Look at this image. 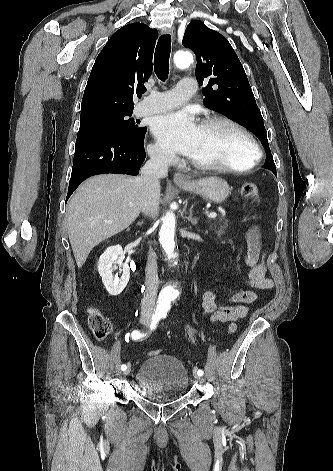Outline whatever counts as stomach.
<instances>
[{
  "label": "stomach",
  "instance_id": "1",
  "mask_svg": "<svg viewBox=\"0 0 333 471\" xmlns=\"http://www.w3.org/2000/svg\"><path fill=\"white\" fill-rule=\"evenodd\" d=\"M177 185L186 192L199 194L215 203L224 202L231 193L228 183L216 176L190 180L187 183H178Z\"/></svg>",
  "mask_w": 333,
  "mask_h": 471
}]
</instances>
